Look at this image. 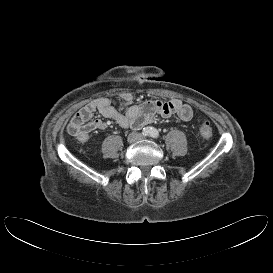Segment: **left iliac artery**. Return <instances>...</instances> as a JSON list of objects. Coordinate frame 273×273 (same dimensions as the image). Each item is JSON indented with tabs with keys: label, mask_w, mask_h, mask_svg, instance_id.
Wrapping results in <instances>:
<instances>
[{
	"label": "left iliac artery",
	"mask_w": 273,
	"mask_h": 273,
	"mask_svg": "<svg viewBox=\"0 0 273 273\" xmlns=\"http://www.w3.org/2000/svg\"><path fill=\"white\" fill-rule=\"evenodd\" d=\"M150 136H151L152 138L157 139V138L159 137V132H158V130H157V129H154V128L151 129Z\"/></svg>",
	"instance_id": "left-iliac-artery-1"
}]
</instances>
